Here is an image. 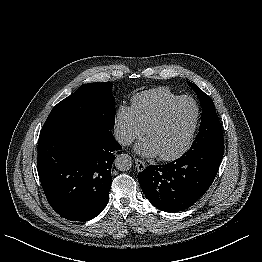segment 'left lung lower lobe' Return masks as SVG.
Here are the masks:
<instances>
[{
  "instance_id": "left-lung-lower-lobe-1",
  "label": "left lung lower lobe",
  "mask_w": 262,
  "mask_h": 262,
  "mask_svg": "<svg viewBox=\"0 0 262 262\" xmlns=\"http://www.w3.org/2000/svg\"><path fill=\"white\" fill-rule=\"evenodd\" d=\"M224 145L188 150L165 165H151L138 174L146 198L159 210L178 212L191 207L212 184Z\"/></svg>"
}]
</instances>
